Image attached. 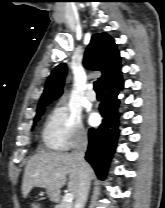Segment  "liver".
<instances>
[{
    "mask_svg": "<svg viewBox=\"0 0 165 208\" xmlns=\"http://www.w3.org/2000/svg\"><path fill=\"white\" fill-rule=\"evenodd\" d=\"M88 166L89 178L95 177L92 167ZM56 174H59L57 177ZM69 176L68 190L76 198L80 188L79 173L72 154L40 151L32 156L25 167L22 194L26 198L33 187L57 191L66 183Z\"/></svg>",
    "mask_w": 165,
    "mask_h": 208,
    "instance_id": "obj_1",
    "label": "liver"
}]
</instances>
